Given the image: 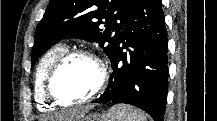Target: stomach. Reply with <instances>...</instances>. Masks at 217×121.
<instances>
[{
    "label": "stomach",
    "mask_w": 217,
    "mask_h": 121,
    "mask_svg": "<svg viewBox=\"0 0 217 121\" xmlns=\"http://www.w3.org/2000/svg\"><path fill=\"white\" fill-rule=\"evenodd\" d=\"M83 121H103L102 117L100 115L97 114H90L88 116H86Z\"/></svg>",
    "instance_id": "stomach-1"
}]
</instances>
